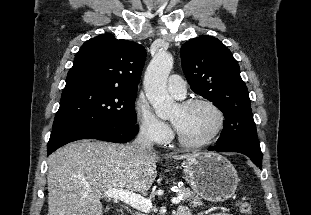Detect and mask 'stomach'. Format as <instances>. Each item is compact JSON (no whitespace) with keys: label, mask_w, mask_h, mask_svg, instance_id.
I'll return each instance as SVG.
<instances>
[{"label":"stomach","mask_w":311,"mask_h":215,"mask_svg":"<svg viewBox=\"0 0 311 215\" xmlns=\"http://www.w3.org/2000/svg\"><path fill=\"white\" fill-rule=\"evenodd\" d=\"M186 182L201 198L210 202H223L237 189L239 178L234 166L217 153H197L183 165Z\"/></svg>","instance_id":"obj_1"}]
</instances>
